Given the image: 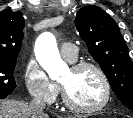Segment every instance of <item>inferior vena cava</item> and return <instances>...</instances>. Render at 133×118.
<instances>
[{
	"label": "inferior vena cava",
	"instance_id": "inferior-vena-cava-1",
	"mask_svg": "<svg viewBox=\"0 0 133 118\" xmlns=\"http://www.w3.org/2000/svg\"><path fill=\"white\" fill-rule=\"evenodd\" d=\"M31 110L33 111L34 115L37 118H43L44 115V109L46 107L45 102L42 99H34L30 103Z\"/></svg>",
	"mask_w": 133,
	"mask_h": 118
}]
</instances>
